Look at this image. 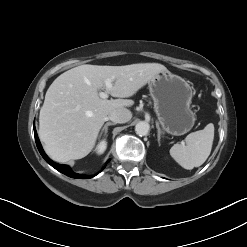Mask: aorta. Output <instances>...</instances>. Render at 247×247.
Returning <instances> with one entry per match:
<instances>
[{
	"label": "aorta",
	"mask_w": 247,
	"mask_h": 247,
	"mask_svg": "<svg viewBox=\"0 0 247 247\" xmlns=\"http://www.w3.org/2000/svg\"><path fill=\"white\" fill-rule=\"evenodd\" d=\"M149 128H150L149 123L145 121H140L135 126V132L140 136H145L148 134Z\"/></svg>",
	"instance_id": "1"
}]
</instances>
